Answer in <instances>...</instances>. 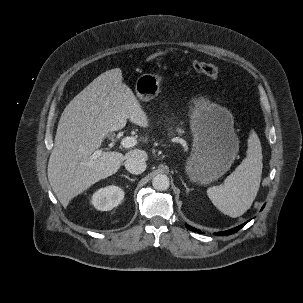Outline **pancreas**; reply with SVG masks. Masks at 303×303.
Returning a JSON list of instances; mask_svg holds the SVG:
<instances>
[{
	"mask_svg": "<svg viewBox=\"0 0 303 303\" xmlns=\"http://www.w3.org/2000/svg\"><path fill=\"white\" fill-rule=\"evenodd\" d=\"M176 132H177L179 135H181V134L183 133V130H182L181 128H177V129H176Z\"/></svg>",
	"mask_w": 303,
	"mask_h": 303,
	"instance_id": "obj_1",
	"label": "pancreas"
}]
</instances>
